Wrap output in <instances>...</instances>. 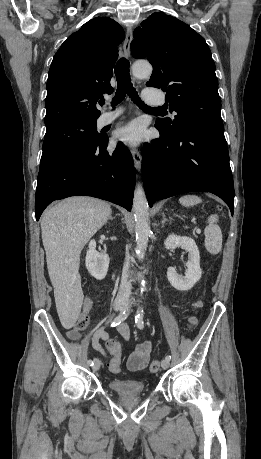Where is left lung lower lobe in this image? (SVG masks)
<instances>
[{"label":"left lung lower lobe","instance_id":"obj_1","mask_svg":"<svg viewBox=\"0 0 261 459\" xmlns=\"http://www.w3.org/2000/svg\"><path fill=\"white\" fill-rule=\"evenodd\" d=\"M160 139L146 144L142 174L149 205L186 192H211L233 215L234 185L223 127H199L170 134L159 125Z\"/></svg>","mask_w":261,"mask_h":459}]
</instances>
